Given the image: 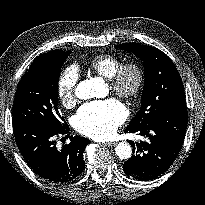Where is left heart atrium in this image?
I'll return each mask as SVG.
<instances>
[{
  "instance_id": "obj_1",
  "label": "left heart atrium",
  "mask_w": 205,
  "mask_h": 205,
  "mask_svg": "<svg viewBox=\"0 0 205 205\" xmlns=\"http://www.w3.org/2000/svg\"><path fill=\"white\" fill-rule=\"evenodd\" d=\"M126 117L124 105L116 99H108L83 105L75 116L74 124L81 134L103 140L111 137Z\"/></svg>"
}]
</instances>
